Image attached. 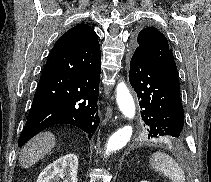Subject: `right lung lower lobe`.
I'll return each instance as SVG.
<instances>
[{
	"label": "right lung lower lobe",
	"mask_w": 211,
	"mask_h": 182,
	"mask_svg": "<svg viewBox=\"0 0 211 182\" xmlns=\"http://www.w3.org/2000/svg\"><path fill=\"white\" fill-rule=\"evenodd\" d=\"M101 53L97 34L74 42H56L42 75L18 146L45 128L71 124L88 133L99 125L97 101Z\"/></svg>",
	"instance_id": "obj_1"
}]
</instances>
